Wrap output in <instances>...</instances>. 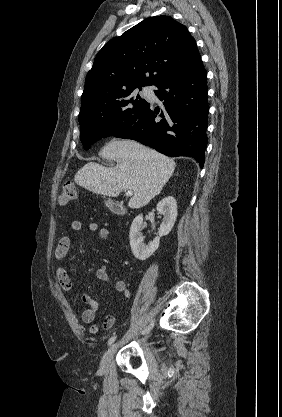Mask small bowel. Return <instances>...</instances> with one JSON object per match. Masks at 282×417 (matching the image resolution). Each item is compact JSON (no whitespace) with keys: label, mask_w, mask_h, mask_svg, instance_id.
Returning <instances> with one entry per match:
<instances>
[{"label":"small bowel","mask_w":282,"mask_h":417,"mask_svg":"<svg viewBox=\"0 0 282 417\" xmlns=\"http://www.w3.org/2000/svg\"><path fill=\"white\" fill-rule=\"evenodd\" d=\"M82 229V222L80 220H72L69 224V231L71 233H78ZM89 230L92 232H97L98 237L101 240H107L110 236V231L107 227H99L97 223L92 222L89 224ZM71 245V239L69 235H64L59 240L57 247L54 251V258L57 262L56 268V277L60 287L65 292H70L72 289V281L67 272V270L61 265V262L67 256ZM96 278L106 283L107 285L114 288V290L122 294L125 299L130 297V291L126 285V283L119 279H114L109 276L105 267H100L96 271ZM81 300L88 306L82 313V320L84 323L90 325L89 332L95 334L99 331V326L94 323L95 315L98 310V302L95 300L91 295L88 293L81 294ZM115 323V315L108 314L102 323V329L109 330Z\"/></svg>","instance_id":"obj_1"}]
</instances>
